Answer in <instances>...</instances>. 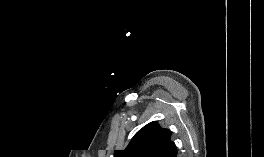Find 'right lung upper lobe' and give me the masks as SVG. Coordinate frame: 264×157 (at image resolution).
<instances>
[{
  "mask_svg": "<svg viewBox=\"0 0 264 157\" xmlns=\"http://www.w3.org/2000/svg\"><path fill=\"white\" fill-rule=\"evenodd\" d=\"M114 157H177L171 132L157 122L140 129L125 150H116Z\"/></svg>",
  "mask_w": 264,
  "mask_h": 157,
  "instance_id": "cb5924a9",
  "label": "right lung upper lobe"
}]
</instances>
